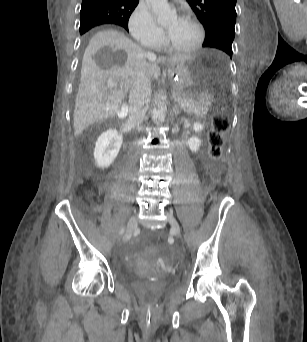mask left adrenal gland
I'll list each match as a JSON object with an SVG mask.
<instances>
[{
    "mask_svg": "<svg viewBox=\"0 0 307 342\" xmlns=\"http://www.w3.org/2000/svg\"><path fill=\"white\" fill-rule=\"evenodd\" d=\"M173 110H174V116H178L179 106L177 102H174Z\"/></svg>",
    "mask_w": 307,
    "mask_h": 342,
    "instance_id": "1",
    "label": "left adrenal gland"
}]
</instances>
